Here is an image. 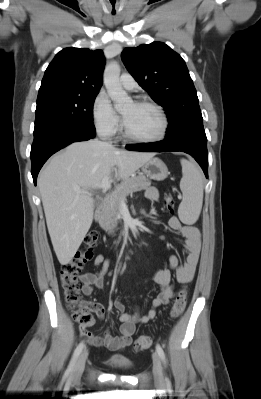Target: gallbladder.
Masks as SVG:
<instances>
[{"label":"gallbladder","instance_id":"bac80fb5","mask_svg":"<svg viewBox=\"0 0 261 399\" xmlns=\"http://www.w3.org/2000/svg\"><path fill=\"white\" fill-rule=\"evenodd\" d=\"M101 203V197L95 196L94 197V207L97 208Z\"/></svg>","mask_w":261,"mask_h":399}]
</instances>
